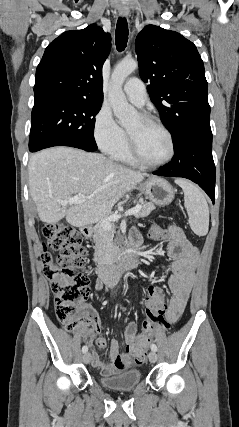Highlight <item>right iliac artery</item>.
I'll return each instance as SVG.
<instances>
[{
  "instance_id": "1",
  "label": "right iliac artery",
  "mask_w": 239,
  "mask_h": 427,
  "mask_svg": "<svg viewBox=\"0 0 239 427\" xmlns=\"http://www.w3.org/2000/svg\"><path fill=\"white\" fill-rule=\"evenodd\" d=\"M87 351H88V347H87V346H83V347H82V352H83V353H86Z\"/></svg>"
}]
</instances>
